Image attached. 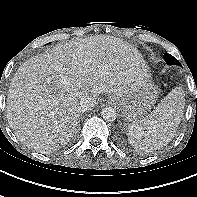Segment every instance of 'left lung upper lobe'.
I'll use <instances>...</instances> for the list:
<instances>
[{"label": "left lung upper lobe", "instance_id": "obj_1", "mask_svg": "<svg viewBox=\"0 0 197 197\" xmlns=\"http://www.w3.org/2000/svg\"><path fill=\"white\" fill-rule=\"evenodd\" d=\"M164 59L168 65H180L179 61L168 53L164 54Z\"/></svg>", "mask_w": 197, "mask_h": 197}]
</instances>
